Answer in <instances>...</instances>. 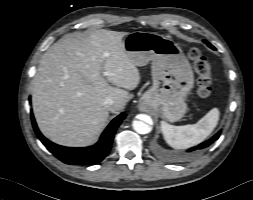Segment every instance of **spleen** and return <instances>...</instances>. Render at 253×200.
<instances>
[{
	"label": "spleen",
	"mask_w": 253,
	"mask_h": 200,
	"mask_svg": "<svg viewBox=\"0 0 253 200\" xmlns=\"http://www.w3.org/2000/svg\"><path fill=\"white\" fill-rule=\"evenodd\" d=\"M219 117V109L213 108L192 125L174 126L161 121V130L169 146L174 149H187L204 141L217 126Z\"/></svg>",
	"instance_id": "spleen-1"
}]
</instances>
